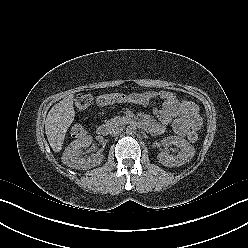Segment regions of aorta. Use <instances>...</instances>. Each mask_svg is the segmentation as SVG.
I'll return each mask as SVG.
<instances>
[{
	"instance_id": "aorta-1",
	"label": "aorta",
	"mask_w": 248,
	"mask_h": 248,
	"mask_svg": "<svg viewBox=\"0 0 248 248\" xmlns=\"http://www.w3.org/2000/svg\"><path fill=\"white\" fill-rule=\"evenodd\" d=\"M137 132V128L134 124H130L126 127V133L129 135H134Z\"/></svg>"
}]
</instances>
